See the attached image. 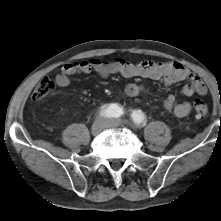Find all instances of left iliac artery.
Listing matches in <instances>:
<instances>
[{"mask_svg":"<svg viewBox=\"0 0 221 221\" xmlns=\"http://www.w3.org/2000/svg\"><path fill=\"white\" fill-rule=\"evenodd\" d=\"M131 118L139 127H142L146 124V116L141 110L133 111Z\"/></svg>","mask_w":221,"mask_h":221,"instance_id":"1","label":"left iliac artery"}]
</instances>
